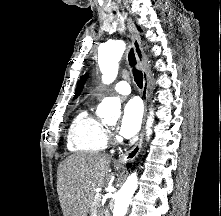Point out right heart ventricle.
<instances>
[{"instance_id":"obj_1","label":"right heart ventricle","mask_w":221,"mask_h":216,"mask_svg":"<svg viewBox=\"0 0 221 216\" xmlns=\"http://www.w3.org/2000/svg\"><path fill=\"white\" fill-rule=\"evenodd\" d=\"M70 151L95 153L107 146V128L89 110L81 111L73 120L67 135Z\"/></svg>"}]
</instances>
